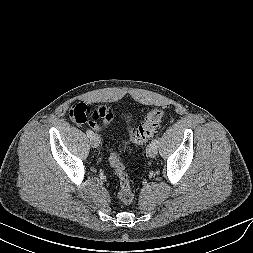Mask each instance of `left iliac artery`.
Wrapping results in <instances>:
<instances>
[{"instance_id":"44dca946","label":"left iliac artery","mask_w":253,"mask_h":253,"mask_svg":"<svg viewBox=\"0 0 253 253\" xmlns=\"http://www.w3.org/2000/svg\"><path fill=\"white\" fill-rule=\"evenodd\" d=\"M151 144H153L157 148L159 145V139H157V138L154 139Z\"/></svg>"}]
</instances>
